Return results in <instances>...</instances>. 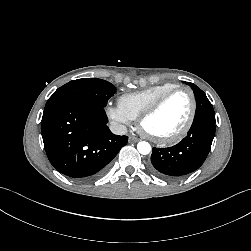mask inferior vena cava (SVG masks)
I'll use <instances>...</instances> for the list:
<instances>
[{
    "label": "inferior vena cava",
    "instance_id": "1",
    "mask_svg": "<svg viewBox=\"0 0 251 251\" xmlns=\"http://www.w3.org/2000/svg\"><path fill=\"white\" fill-rule=\"evenodd\" d=\"M110 130L116 135H125L127 133V128L125 125L112 123L110 125Z\"/></svg>",
    "mask_w": 251,
    "mask_h": 251
}]
</instances>
